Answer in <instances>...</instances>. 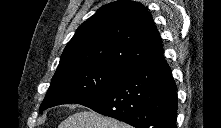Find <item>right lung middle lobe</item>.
<instances>
[{
  "label": "right lung middle lobe",
  "mask_w": 221,
  "mask_h": 128,
  "mask_svg": "<svg viewBox=\"0 0 221 128\" xmlns=\"http://www.w3.org/2000/svg\"><path fill=\"white\" fill-rule=\"evenodd\" d=\"M124 74L96 66H84L56 71L40 113L60 104L75 103L92 97L111 85Z\"/></svg>",
  "instance_id": "obj_1"
}]
</instances>
